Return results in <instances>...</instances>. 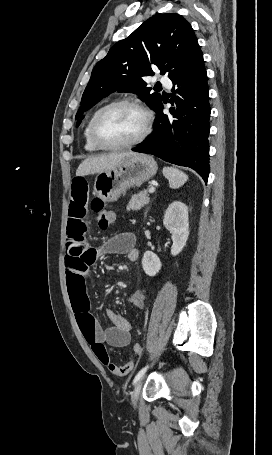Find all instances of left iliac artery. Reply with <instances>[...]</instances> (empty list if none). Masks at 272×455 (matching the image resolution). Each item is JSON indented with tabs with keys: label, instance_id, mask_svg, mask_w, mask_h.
Wrapping results in <instances>:
<instances>
[{
	"label": "left iliac artery",
	"instance_id": "left-iliac-artery-1",
	"mask_svg": "<svg viewBox=\"0 0 272 455\" xmlns=\"http://www.w3.org/2000/svg\"><path fill=\"white\" fill-rule=\"evenodd\" d=\"M148 366H145L144 368H142L135 376L134 380H133V385L144 375V373L146 372Z\"/></svg>",
	"mask_w": 272,
	"mask_h": 455
}]
</instances>
